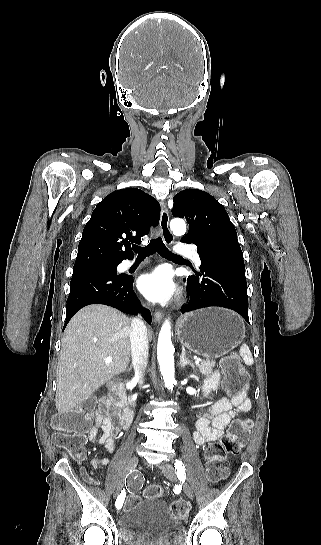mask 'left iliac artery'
Here are the masks:
<instances>
[{
	"label": "left iliac artery",
	"instance_id": "44dca946",
	"mask_svg": "<svg viewBox=\"0 0 321 545\" xmlns=\"http://www.w3.org/2000/svg\"><path fill=\"white\" fill-rule=\"evenodd\" d=\"M174 466H175V469L177 470L178 478L181 480H185L186 478L185 466L182 463V461L176 460Z\"/></svg>",
	"mask_w": 321,
	"mask_h": 545
}]
</instances>
